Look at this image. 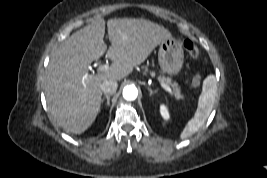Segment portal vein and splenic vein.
Returning a JSON list of instances; mask_svg holds the SVG:
<instances>
[{
	"label": "portal vein and splenic vein",
	"instance_id": "18ae733b",
	"mask_svg": "<svg viewBox=\"0 0 267 178\" xmlns=\"http://www.w3.org/2000/svg\"><path fill=\"white\" fill-rule=\"evenodd\" d=\"M109 69V65L108 64H103V65H100L98 67V71L99 72H104V71H107ZM160 85L168 92V93H172V89L165 83L163 82H160Z\"/></svg>",
	"mask_w": 267,
	"mask_h": 178
}]
</instances>
